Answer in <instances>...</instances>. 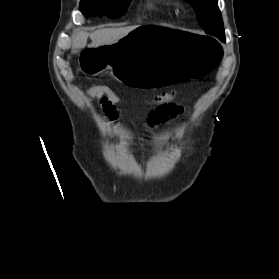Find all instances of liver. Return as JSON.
Segmentation results:
<instances>
[{"instance_id":"liver-1","label":"liver","mask_w":279,"mask_h":279,"mask_svg":"<svg viewBox=\"0 0 279 279\" xmlns=\"http://www.w3.org/2000/svg\"><path fill=\"white\" fill-rule=\"evenodd\" d=\"M137 27L138 26L105 28L91 34L79 31L72 38V52L77 53L80 49H83L87 44L88 36L92 41L90 47L98 48L100 46L115 44Z\"/></svg>"}]
</instances>
